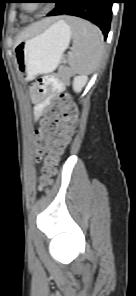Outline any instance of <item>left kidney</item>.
<instances>
[{"label": "left kidney", "mask_w": 136, "mask_h": 296, "mask_svg": "<svg viewBox=\"0 0 136 296\" xmlns=\"http://www.w3.org/2000/svg\"><path fill=\"white\" fill-rule=\"evenodd\" d=\"M88 80L87 76H75L73 79V90L77 93L81 92L82 88L86 85Z\"/></svg>", "instance_id": "obj_1"}]
</instances>
